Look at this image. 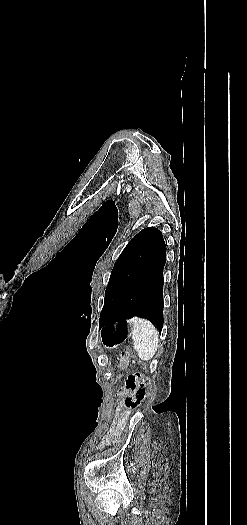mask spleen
I'll list each match as a JSON object with an SVG mask.
<instances>
[{"instance_id": "obj_1", "label": "spleen", "mask_w": 247, "mask_h": 525, "mask_svg": "<svg viewBox=\"0 0 247 525\" xmlns=\"http://www.w3.org/2000/svg\"><path fill=\"white\" fill-rule=\"evenodd\" d=\"M131 323L133 325V347L141 361H150L157 351L159 333L154 325L150 321H146V319L133 317Z\"/></svg>"}]
</instances>
